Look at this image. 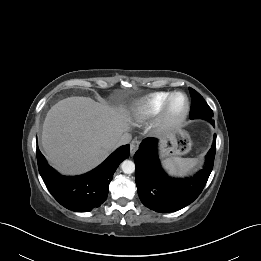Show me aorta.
<instances>
[{
  "instance_id": "aorta-1",
  "label": "aorta",
  "mask_w": 261,
  "mask_h": 261,
  "mask_svg": "<svg viewBox=\"0 0 261 261\" xmlns=\"http://www.w3.org/2000/svg\"><path fill=\"white\" fill-rule=\"evenodd\" d=\"M121 169L125 174H132L135 171V164L133 161L125 160L121 163Z\"/></svg>"
}]
</instances>
